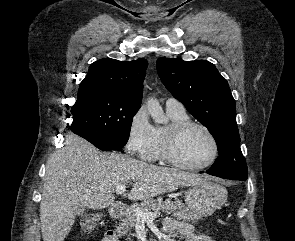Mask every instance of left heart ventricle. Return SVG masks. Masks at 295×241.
<instances>
[{
  "mask_svg": "<svg viewBox=\"0 0 295 241\" xmlns=\"http://www.w3.org/2000/svg\"><path fill=\"white\" fill-rule=\"evenodd\" d=\"M174 154L178 160L186 164H203L211 158L213 144L204 131L195 127L190 128L177 139Z\"/></svg>",
  "mask_w": 295,
  "mask_h": 241,
  "instance_id": "obj_1",
  "label": "left heart ventricle"
}]
</instances>
